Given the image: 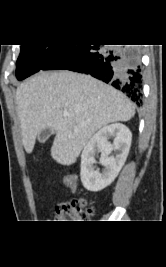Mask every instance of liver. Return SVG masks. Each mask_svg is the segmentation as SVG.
Here are the masks:
<instances>
[{
	"mask_svg": "<svg viewBox=\"0 0 166 267\" xmlns=\"http://www.w3.org/2000/svg\"><path fill=\"white\" fill-rule=\"evenodd\" d=\"M16 103L26 152L31 153L37 135L50 128L56 132L51 156L62 165L75 163L96 131L135 115L121 92L70 71L40 72L28 79L17 88Z\"/></svg>",
	"mask_w": 166,
	"mask_h": 267,
	"instance_id": "obj_1",
	"label": "liver"
}]
</instances>
